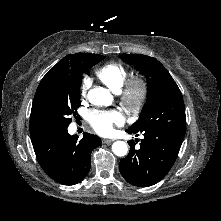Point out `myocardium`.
<instances>
[{"instance_id": "1", "label": "myocardium", "mask_w": 221, "mask_h": 221, "mask_svg": "<svg viewBox=\"0 0 221 221\" xmlns=\"http://www.w3.org/2000/svg\"><path fill=\"white\" fill-rule=\"evenodd\" d=\"M148 82L141 75H134L126 80L119 92L120 100L130 113H138L148 97Z\"/></svg>"}]
</instances>
